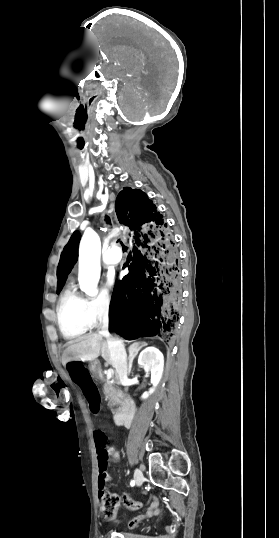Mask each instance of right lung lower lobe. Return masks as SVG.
I'll use <instances>...</instances> for the list:
<instances>
[{"label": "right lung lower lobe", "instance_id": "obj_1", "mask_svg": "<svg viewBox=\"0 0 279 538\" xmlns=\"http://www.w3.org/2000/svg\"><path fill=\"white\" fill-rule=\"evenodd\" d=\"M116 214L133 242L129 274L115 285L109 324L126 337L171 332L182 307L179 251L167 223L141 190L125 187Z\"/></svg>", "mask_w": 279, "mask_h": 538}]
</instances>
